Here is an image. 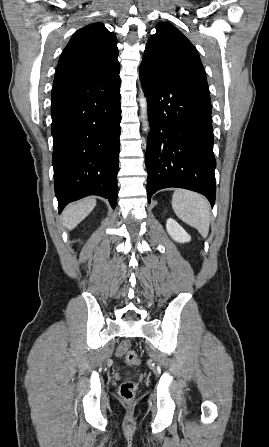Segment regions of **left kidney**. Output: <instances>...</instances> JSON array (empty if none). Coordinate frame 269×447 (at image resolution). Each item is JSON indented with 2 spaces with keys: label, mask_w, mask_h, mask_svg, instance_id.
Here are the masks:
<instances>
[{
  "label": "left kidney",
  "mask_w": 269,
  "mask_h": 447,
  "mask_svg": "<svg viewBox=\"0 0 269 447\" xmlns=\"http://www.w3.org/2000/svg\"><path fill=\"white\" fill-rule=\"evenodd\" d=\"M166 229L175 241H181V243H184V241H190L191 239L189 233L183 229L182 225L177 224V222L172 220V218L167 220Z\"/></svg>",
  "instance_id": "5707ae66"
}]
</instances>
